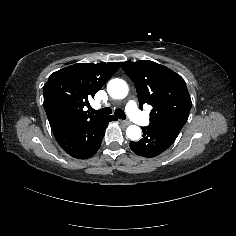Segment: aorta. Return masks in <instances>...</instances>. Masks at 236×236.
<instances>
[{"label":"aorta","mask_w":236,"mask_h":236,"mask_svg":"<svg viewBox=\"0 0 236 236\" xmlns=\"http://www.w3.org/2000/svg\"><path fill=\"white\" fill-rule=\"evenodd\" d=\"M128 85L124 80L112 79L107 84V92L114 99H123L128 95ZM141 128L137 125H130L126 129L127 137L132 141H137L141 138Z\"/></svg>","instance_id":"aorta-1"}]
</instances>
